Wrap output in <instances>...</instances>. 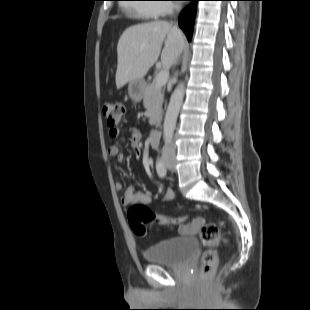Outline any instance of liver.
Returning <instances> with one entry per match:
<instances>
[{
	"label": "liver",
	"instance_id": "1",
	"mask_svg": "<svg viewBox=\"0 0 310 310\" xmlns=\"http://www.w3.org/2000/svg\"><path fill=\"white\" fill-rule=\"evenodd\" d=\"M184 45L182 32L166 21H154L127 28L117 45V88L120 89L133 80H142L157 62L160 53L163 69L169 70L177 62Z\"/></svg>",
	"mask_w": 310,
	"mask_h": 310
}]
</instances>
